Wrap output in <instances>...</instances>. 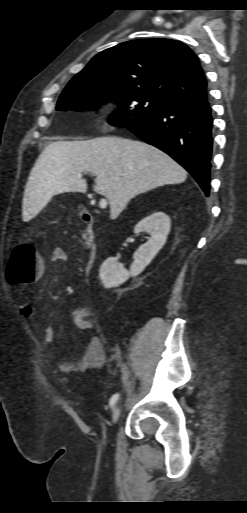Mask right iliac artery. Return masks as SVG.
Returning <instances> with one entry per match:
<instances>
[{
	"label": "right iliac artery",
	"mask_w": 247,
	"mask_h": 513,
	"mask_svg": "<svg viewBox=\"0 0 247 513\" xmlns=\"http://www.w3.org/2000/svg\"><path fill=\"white\" fill-rule=\"evenodd\" d=\"M118 398H119V394H118V393L114 394V395L110 398V402H109L110 407H113V406H114V404L116 403V401L118 400Z\"/></svg>",
	"instance_id": "right-iliac-artery-1"
}]
</instances>
